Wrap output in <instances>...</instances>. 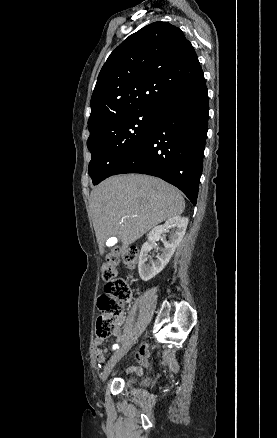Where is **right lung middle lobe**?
Segmentation results:
<instances>
[{
	"label": "right lung middle lobe",
	"instance_id": "1",
	"mask_svg": "<svg viewBox=\"0 0 277 438\" xmlns=\"http://www.w3.org/2000/svg\"><path fill=\"white\" fill-rule=\"evenodd\" d=\"M156 111V108L143 109L111 117L89 127L87 146L92 159L88 171L94 185L113 175L142 143Z\"/></svg>",
	"mask_w": 277,
	"mask_h": 438
}]
</instances>
